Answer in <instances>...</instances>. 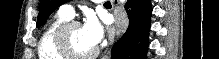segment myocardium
Returning <instances> with one entry per match:
<instances>
[{
    "label": "myocardium",
    "instance_id": "1",
    "mask_svg": "<svg viewBox=\"0 0 219 59\" xmlns=\"http://www.w3.org/2000/svg\"><path fill=\"white\" fill-rule=\"evenodd\" d=\"M73 26H80V23L76 20H68L59 29L56 36V48L57 51L63 55L66 59H92L98 55V48H94L89 53L79 54L76 53L70 45L69 32Z\"/></svg>",
    "mask_w": 219,
    "mask_h": 59
}]
</instances>
